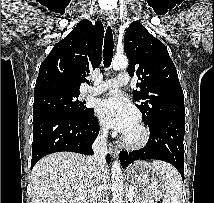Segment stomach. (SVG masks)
Returning a JSON list of instances; mask_svg holds the SVG:
<instances>
[{
    "label": "stomach",
    "instance_id": "0dacf381",
    "mask_svg": "<svg viewBox=\"0 0 214 203\" xmlns=\"http://www.w3.org/2000/svg\"><path fill=\"white\" fill-rule=\"evenodd\" d=\"M127 179L134 189V203H155L167 190L164 175L144 161L135 162L129 167Z\"/></svg>",
    "mask_w": 214,
    "mask_h": 203
}]
</instances>
